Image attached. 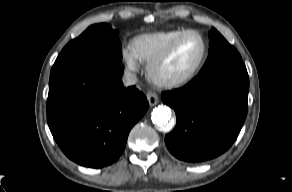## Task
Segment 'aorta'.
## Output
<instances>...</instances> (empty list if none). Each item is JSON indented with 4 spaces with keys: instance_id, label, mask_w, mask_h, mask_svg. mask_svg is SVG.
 Returning a JSON list of instances; mask_svg holds the SVG:
<instances>
[{
    "instance_id": "obj_1",
    "label": "aorta",
    "mask_w": 292,
    "mask_h": 192,
    "mask_svg": "<svg viewBox=\"0 0 292 192\" xmlns=\"http://www.w3.org/2000/svg\"><path fill=\"white\" fill-rule=\"evenodd\" d=\"M152 122L164 132L170 131L173 127L171 123L172 112L167 106L159 105L155 107L151 114Z\"/></svg>"
}]
</instances>
